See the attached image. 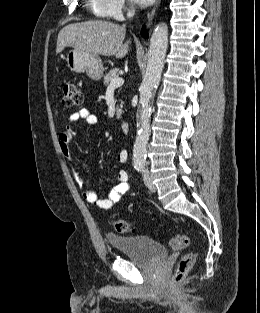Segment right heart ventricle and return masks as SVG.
Segmentation results:
<instances>
[{
    "mask_svg": "<svg viewBox=\"0 0 260 313\" xmlns=\"http://www.w3.org/2000/svg\"><path fill=\"white\" fill-rule=\"evenodd\" d=\"M90 6L92 7V9L94 11H96V8H97V0H88Z\"/></svg>",
    "mask_w": 260,
    "mask_h": 313,
    "instance_id": "obj_1",
    "label": "right heart ventricle"
}]
</instances>
